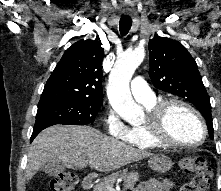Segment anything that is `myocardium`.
<instances>
[{
  "instance_id": "obj_1",
  "label": "myocardium",
  "mask_w": 221,
  "mask_h": 191,
  "mask_svg": "<svg viewBox=\"0 0 221 191\" xmlns=\"http://www.w3.org/2000/svg\"><path fill=\"white\" fill-rule=\"evenodd\" d=\"M177 107L189 111L199 122L202 130V137L198 142L184 143L176 141L171 137L168 123L169 116L172 110ZM144 124L149 129L152 140L160 147L195 148L202 145L208 135L207 125L201 113L191 104L176 98L158 101L149 111Z\"/></svg>"
}]
</instances>
